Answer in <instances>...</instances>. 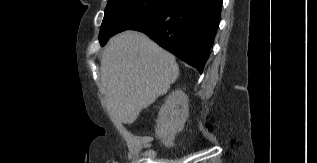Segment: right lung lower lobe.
Here are the masks:
<instances>
[{
	"instance_id": "98d812e1",
	"label": "right lung lower lobe",
	"mask_w": 317,
	"mask_h": 163,
	"mask_svg": "<svg viewBox=\"0 0 317 163\" xmlns=\"http://www.w3.org/2000/svg\"><path fill=\"white\" fill-rule=\"evenodd\" d=\"M222 1L171 0L129 30L145 33L201 74L219 25Z\"/></svg>"
}]
</instances>
